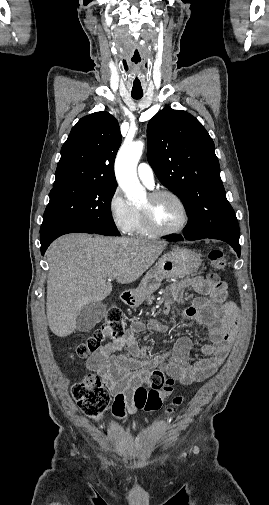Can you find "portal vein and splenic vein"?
I'll return each mask as SVG.
<instances>
[{"mask_svg":"<svg viewBox=\"0 0 269 505\" xmlns=\"http://www.w3.org/2000/svg\"><path fill=\"white\" fill-rule=\"evenodd\" d=\"M114 278H115V276H114V275H112V276H110V277H109V279H108V280H109V281H111V280H113Z\"/></svg>","mask_w":269,"mask_h":505,"instance_id":"18ae733b","label":"portal vein and splenic vein"}]
</instances>
